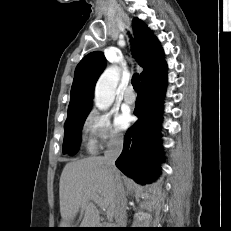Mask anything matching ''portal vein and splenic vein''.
I'll return each instance as SVG.
<instances>
[{
    "label": "portal vein and splenic vein",
    "mask_w": 231,
    "mask_h": 231,
    "mask_svg": "<svg viewBox=\"0 0 231 231\" xmlns=\"http://www.w3.org/2000/svg\"><path fill=\"white\" fill-rule=\"evenodd\" d=\"M89 199H91L93 202H95L98 206L103 208V203L100 200V198L97 195H92Z\"/></svg>",
    "instance_id": "1"
}]
</instances>
